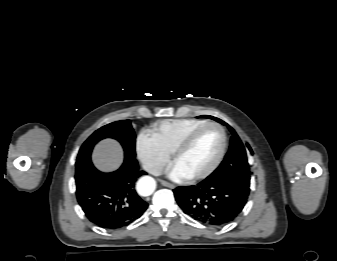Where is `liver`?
Returning <instances> with one entry per match:
<instances>
[{
    "mask_svg": "<svg viewBox=\"0 0 337 261\" xmlns=\"http://www.w3.org/2000/svg\"><path fill=\"white\" fill-rule=\"evenodd\" d=\"M92 160L99 170L114 171L123 161L122 148L115 140L105 139L95 146Z\"/></svg>",
    "mask_w": 337,
    "mask_h": 261,
    "instance_id": "obj_1",
    "label": "liver"
}]
</instances>
